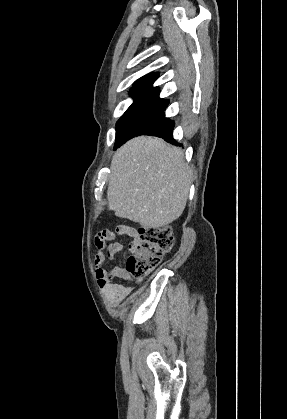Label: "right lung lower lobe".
I'll return each mask as SVG.
<instances>
[{
  "instance_id": "right-lung-lower-lobe-1",
  "label": "right lung lower lobe",
  "mask_w": 287,
  "mask_h": 419,
  "mask_svg": "<svg viewBox=\"0 0 287 419\" xmlns=\"http://www.w3.org/2000/svg\"><path fill=\"white\" fill-rule=\"evenodd\" d=\"M173 129H174V122L169 120L168 118H165V116H163L162 118H160L159 120L151 124L147 129H145L139 135L157 136V137H161L165 139L166 141L173 142L175 141L172 135ZM175 143L178 145L177 142Z\"/></svg>"
}]
</instances>
